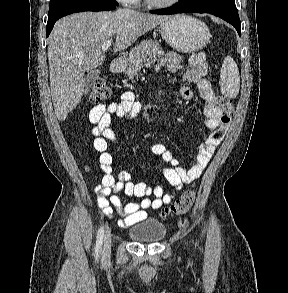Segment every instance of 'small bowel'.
Returning <instances> with one entry per match:
<instances>
[{
  "label": "small bowel",
  "mask_w": 288,
  "mask_h": 293,
  "mask_svg": "<svg viewBox=\"0 0 288 293\" xmlns=\"http://www.w3.org/2000/svg\"><path fill=\"white\" fill-rule=\"evenodd\" d=\"M189 69L183 74L182 80L196 84L198 91L205 101L204 115L206 126L211 129L209 136L198 146L196 156L181 167L179 161L163 144H153L150 151L171 165L163 171L164 177L172 191L165 192L162 186H150L145 183H134L130 181L131 175L128 171H121L118 178L113 175V157L109 153V142H117L116 135L111 128V118H132L142 110V103L135 98L131 91L124 92L119 101L110 104H99L89 112L90 121L95 124L92 135L95 137L93 146L100 153L99 165L104 173L101 181L95 188L97 203L100 210L107 216H113L114 211L123 216L117 224L129 227L147 218V210L159 209L162 205L170 203L175 197V191L180 190L183 185L198 179L211 157L221 143L229 127V118L224 116L222 108L218 103L217 96L213 91L210 81L205 77L207 64L202 53H196L189 59ZM183 66V60L175 52L168 53L157 65V70L166 67L169 72L178 73ZM180 95L189 100L193 92L188 87H182ZM119 192L129 199H140L122 204Z\"/></svg>",
  "instance_id": "c3829d8e"
}]
</instances>
